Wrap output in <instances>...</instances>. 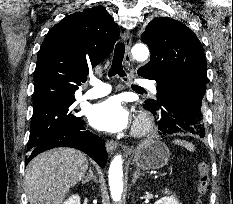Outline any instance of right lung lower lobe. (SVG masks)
I'll return each mask as SVG.
<instances>
[{
  "instance_id": "obj_1",
  "label": "right lung lower lobe",
  "mask_w": 233,
  "mask_h": 204,
  "mask_svg": "<svg viewBox=\"0 0 233 204\" xmlns=\"http://www.w3.org/2000/svg\"><path fill=\"white\" fill-rule=\"evenodd\" d=\"M54 147H72L81 150L94 159L102 168L105 167L107 159L105 141L89 130H85L83 121L77 127L56 133L29 150L25 166L39 153Z\"/></svg>"
}]
</instances>
